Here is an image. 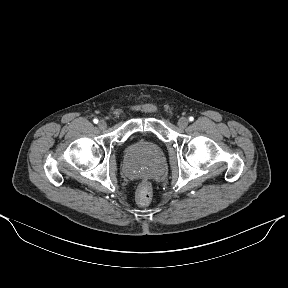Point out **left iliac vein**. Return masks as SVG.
<instances>
[{
    "mask_svg": "<svg viewBox=\"0 0 288 288\" xmlns=\"http://www.w3.org/2000/svg\"><path fill=\"white\" fill-rule=\"evenodd\" d=\"M188 123H189V121H188L187 118L181 117V118L179 119V121H178V126H179L180 128H183V129H184V128L187 127Z\"/></svg>",
    "mask_w": 288,
    "mask_h": 288,
    "instance_id": "1",
    "label": "left iliac vein"
}]
</instances>
